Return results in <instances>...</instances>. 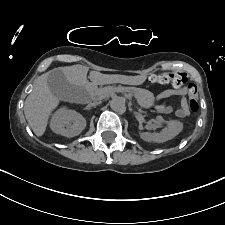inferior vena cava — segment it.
<instances>
[{
    "instance_id": "inferior-vena-cava-1",
    "label": "inferior vena cava",
    "mask_w": 225,
    "mask_h": 225,
    "mask_svg": "<svg viewBox=\"0 0 225 225\" xmlns=\"http://www.w3.org/2000/svg\"><path fill=\"white\" fill-rule=\"evenodd\" d=\"M101 100H102V96L96 97V98L93 100V102H91V103H89V104L87 105V107H88V108L95 107V106H97L98 104L101 103Z\"/></svg>"
}]
</instances>
